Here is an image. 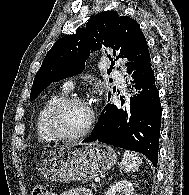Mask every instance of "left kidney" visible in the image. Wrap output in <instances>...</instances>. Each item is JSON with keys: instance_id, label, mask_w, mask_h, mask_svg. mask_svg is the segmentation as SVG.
<instances>
[{"instance_id": "obj_1", "label": "left kidney", "mask_w": 189, "mask_h": 195, "mask_svg": "<svg viewBox=\"0 0 189 195\" xmlns=\"http://www.w3.org/2000/svg\"><path fill=\"white\" fill-rule=\"evenodd\" d=\"M118 193H123V195H135L133 185L127 180H121L113 184L105 195H118Z\"/></svg>"}]
</instances>
